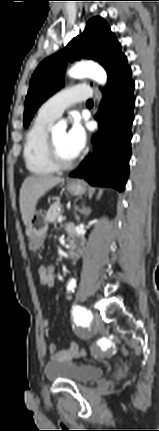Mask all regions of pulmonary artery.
<instances>
[{"mask_svg":"<svg viewBox=\"0 0 159 431\" xmlns=\"http://www.w3.org/2000/svg\"><path fill=\"white\" fill-rule=\"evenodd\" d=\"M92 89L86 84H75L49 98L39 109V113L51 119L58 118L71 105L89 100Z\"/></svg>","mask_w":159,"mask_h":431,"instance_id":"e3ab8cb5","label":"pulmonary artery"}]
</instances>
